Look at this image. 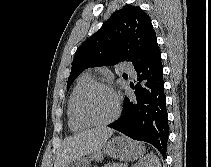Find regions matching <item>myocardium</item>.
Masks as SVG:
<instances>
[{
	"label": "myocardium",
	"instance_id": "1",
	"mask_svg": "<svg viewBox=\"0 0 211 167\" xmlns=\"http://www.w3.org/2000/svg\"><path fill=\"white\" fill-rule=\"evenodd\" d=\"M94 88H104L106 90H108L113 98H114V103H115V110L113 115L108 118L107 120L104 121H95L92 119H89L88 117H86L82 110H81V102L83 97L85 96V94L87 92H89L90 90L94 89ZM74 113L75 116L77 117V119L88 125V126H106L111 124L112 122H114L119 114H120V100H119V96L117 95V93L114 91V89L107 83L101 80H91L90 82H88L77 94L76 99H75V103H74Z\"/></svg>",
	"mask_w": 211,
	"mask_h": 167
}]
</instances>
